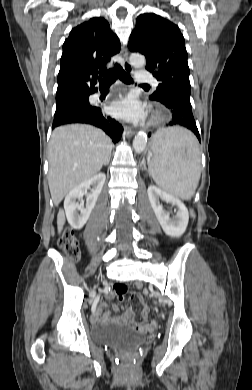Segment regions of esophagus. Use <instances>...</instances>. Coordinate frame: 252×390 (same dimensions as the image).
Segmentation results:
<instances>
[{
	"instance_id": "esophagus-1",
	"label": "esophagus",
	"mask_w": 252,
	"mask_h": 390,
	"mask_svg": "<svg viewBox=\"0 0 252 390\" xmlns=\"http://www.w3.org/2000/svg\"><path fill=\"white\" fill-rule=\"evenodd\" d=\"M122 57H123V68L127 72H132V67L130 63L128 62V53L127 49L123 47L121 51ZM124 133L126 134L127 137H131L134 135L135 131L131 127H124Z\"/></svg>"
}]
</instances>
